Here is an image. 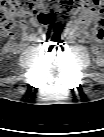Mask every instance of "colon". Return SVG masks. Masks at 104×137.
Returning <instances> with one entry per match:
<instances>
[{"label":"colon","mask_w":104,"mask_h":137,"mask_svg":"<svg viewBox=\"0 0 104 137\" xmlns=\"http://www.w3.org/2000/svg\"><path fill=\"white\" fill-rule=\"evenodd\" d=\"M104 9V0H5L0 6V25L3 33L11 31L19 19L34 17L40 24H49L52 13L65 15L81 10ZM96 38L101 39L103 30L97 25ZM101 50L100 45L96 46Z\"/></svg>","instance_id":"obj_1"}]
</instances>
